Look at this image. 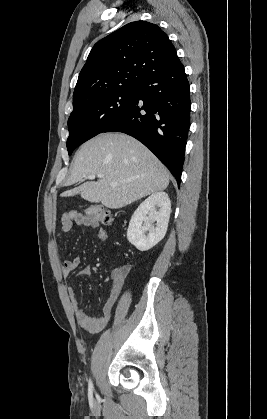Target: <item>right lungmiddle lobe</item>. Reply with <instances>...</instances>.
<instances>
[{
	"instance_id": "right-lung-middle-lobe-1",
	"label": "right lung middle lobe",
	"mask_w": 267,
	"mask_h": 419,
	"mask_svg": "<svg viewBox=\"0 0 267 419\" xmlns=\"http://www.w3.org/2000/svg\"><path fill=\"white\" fill-rule=\"evenodd\" d=\"M137 93V86L126 87L101 92L73 104V111L68 119L69 155L76 147L104 132L110 124L117 121L130 107Z\"/></svg>"
}]
</instances>
